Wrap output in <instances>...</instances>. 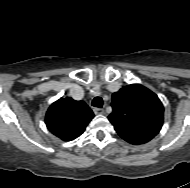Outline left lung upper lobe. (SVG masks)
<instances>
[{
    "label": "left lung upper lobe",
    "mask_w": 190,
    "mask_h": 188,
    "mask_svg": "<svg viewBox=\"0 0 190 188\" xmlns=\"http://www.w3.org/2000/svg\"><path fill=\"white\" fill-rule=\"evenodd\" d=\"M114 128L156 136L163 125V105L158 96L141 84H131L112 95Z\"/></svg>",
    "instance_id": "obj_1"
}]
</instances>
